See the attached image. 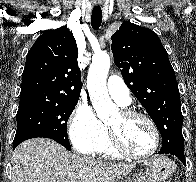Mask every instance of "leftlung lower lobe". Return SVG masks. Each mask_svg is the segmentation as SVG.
Returning <instances> with one entry per match:
<instances>
[{"mask_svg": "<svg viewBox=\"0 0 196 182\" xmlns=\"http://www.w3.org/2000/svg\"><path fill=\"white\" fill-rule=\"evenodd\" d=\"M160 154H162L161 152H159ZM169 154L175 155L177 158L180 159V161L186 165V160H185V156H184V152H171Z\"/></svg>", "mask_w": 196, "mask_h": 182, "instance_id": "obj_1", "label": "left lung lower lobe"}]
</instances>
